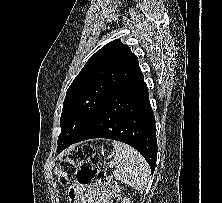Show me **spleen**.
<instances>
[{
    "label": "spleen",
    "mask_w": 222,
    "mask_h": 203,
    "mask_svg": "<svg viewBox=\"0 0 222 203\" xmlns=\"http://www.w3.org/2000/svg\"><path fill=\"white\" fill-rule=\"evenodd\" d=\"M112 145L116 150L114 177L136 190H143L150 177V167L144 157L125 143L113 141Z\"/></svg>",
    "instance_id": "1"
}]
</instances>
